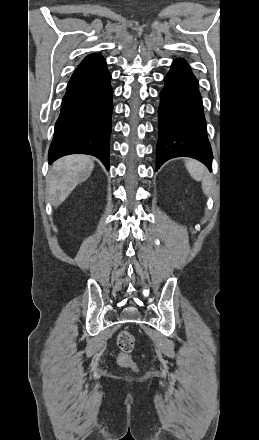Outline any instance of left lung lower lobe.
Segmentation results:
<instances>
[{
	"label": "left lung lower lobe",
	"mask_w": 259,
	"mask_h": 440,
	"mask_svg": "<svg viewBox=\"0 0 259 440\" xmlns=\"http://www.w3.org/2000/svg\"><path fill=\"white\" fill-rule=\"evenodd\" d=\"M160 93L156 171L167 160L187 156L212 169V150L198 80L183 59L172 63Z\"/></svg>",
	"instance_id": "left-lung-lower-lobe-1"
}]
</instances>
